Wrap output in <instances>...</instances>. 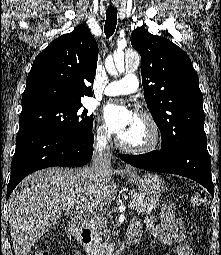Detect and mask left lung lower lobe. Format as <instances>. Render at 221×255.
Masks as SVG:
<instances>
[{"label": "left lung lower lobe", "mask_w": 221, "mask_h": 255, "mask_svg": "<svg viewBox=\"0 0 221 255\" xmlns=\"http://www.w3.org/2000/svg\"><path fill=\"white\" fill-rule=\"evenodd\" d=\"M126 163L150 171L185 176L203 185L214 196L206 141H190L175 151L162 148L142 155H121Z\"/></svg>", "instance_id": "0a47b994"}]
</instances>
